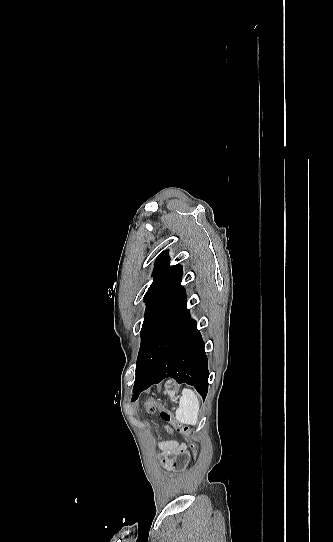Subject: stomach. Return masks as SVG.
<instances>
[{"label":"stomach","mask_w":333,"mask_h":542,"mask_svg":"<svg viewBox=\"0 0 333 542\" xmlns=\"http://www.w3.org/2000/svg\"><path fill=\"white\" fill-rule=\"evenodd\" d=\"M165 392L166 394H168L169 398H171V400H175L176 398V388L174 386L173 390H170L169 388V384H165Z\"/></svg>","instance_id":"1"}]
</instances>
